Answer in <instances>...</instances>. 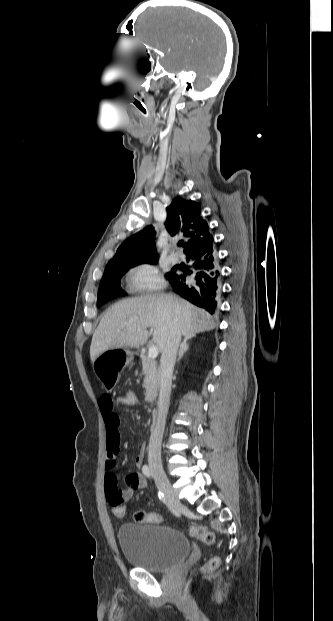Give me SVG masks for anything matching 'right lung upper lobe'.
<instances>
[{
  "label": "right lung upper lobe",
  "mask_w": 333,
  "mask_h": 621,
  "mask_svg": "<svg viewBox=\"0 0 333 621\" xmlns=\"http://www.w3.org/2000/svg\"><path fill=\"white\" fill-rule=\"evenodd\" d=\"M167 219L165 226L172 236L183 235L186 242L180 241L184 253L203 250L213 245V236L209 232L208 224L201 217L200 204L192 200L174 198L166 208ZM156 231L153 226H147L125 240L107 266L124 263L148 261L158 258L154 244ZM106 266V267H107Z\"/></svg>",
  "instance_id": "cb5924a9"
}]
</instances>
